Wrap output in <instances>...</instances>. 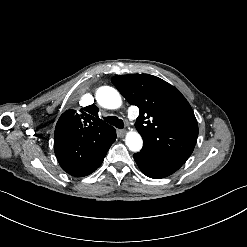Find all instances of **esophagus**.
Returning a JSON list of instances; mask_svg holds the SVG:
<instances>
[{
    "mask_svg": "<svg viewBox=\"0 0 247 247\" xmlns=\"http://www.w3.org/2000/svg\"><path fill=\"white\" fill-rule=\"evenodd\" d=\"M125 135V130H117V137L122 138Z\"/></svg>",
    "mask_w": 247,
    "mask_h": 247,
    "instance_id": "1",
    "label": "esophagus"
}]
</instances>
